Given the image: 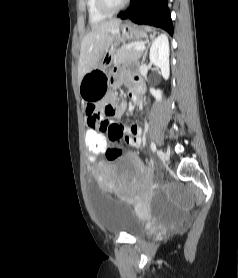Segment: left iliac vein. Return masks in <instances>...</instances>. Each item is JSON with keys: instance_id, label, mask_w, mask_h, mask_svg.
<instances>
[{"instance_id": "left-iliac-vein-1", "label": "left iliac vein", "mask_w": 238, "mask_h": 278, "mask_svg": "<svg viewBox=\"0 0 238 278\" xmlns=\"http://www.w3.org/2000/svg\"><path fill=\"white\" fill-rule=\"evenodd\" d=\"M158 155L163 161H167L169 159V155L163 150H158Z\"/></svg>"}]
</instances>
